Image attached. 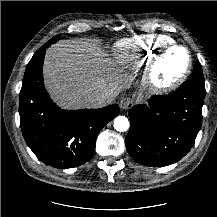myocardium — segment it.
Instances as JSON below:
<instances>
[{
    "label": "myocardium",
    "instance_id": "myocardium-1",
    "mask_svg": "<svg viewBox=\"0 0 217 217\" xmlns=\"http://www.w3.org/2000/svg\"><path fill=\"white\" fill-rule=\"evenodd\" d=\"M174 50H182L186 53V66L178 75H176L171 80L167 82H160L158 79L160 65L164 58ZM192 65L193 58L187 47L180 44H170L159 50L151 59L142 80L143 88L149 93L153 94H166L172 92L186 80L191 72Z\"/></svg>",
    "mask_w": 217,
    "mask_h": 217
}]
</instances>
